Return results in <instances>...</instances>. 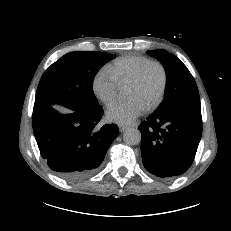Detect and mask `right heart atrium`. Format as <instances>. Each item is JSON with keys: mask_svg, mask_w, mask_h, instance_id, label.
Listing matches in <instances>:
<instances>
[{"mask_svg": "<svg viewBox=\"0 0 231 231\" xmlns=\"http://www.w3.org/2000/svg\"><path fill=\"white\" fill-rule=\"evenodd\" d=\"M92 87L96 97L105 105L115 100L119 89L115 79L106 68L101 69L95 75Z\"/></svg>", "mask_w": 231, "mask_h": 231, "instance_id": "right-heart-atrium-1", "label": "right heart atrium"}]
</instances>
